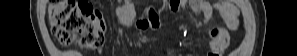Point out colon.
<instances>
[{
    "label": "colon",
    "instance_id": "obj_1",
    "mask_svg": "<svg viewBox=\"0 0 297 56\" xmlns=\"http://www.w3.org/2000/svg\"><path fill=\"white\" fill-rule=\"evenodd\" d=\"M52 34L61 45L76 44L94 50L105 42L102 13L85 0H52L49 5Z\"/></svg>",
    "mask_w": 297,
    "mask_h": 56
}]
</instances>
